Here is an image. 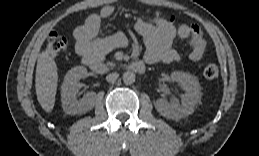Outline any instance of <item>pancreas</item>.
<instances>
[{"label": "pancreas", "instance_id": "1", "mask_svg": "<svg viewBox=\"0 0 259 156\" xmlns=\"http://www.w3.org/2000/svg\"><path fill=\"white\" fill-rule=\"evenodd\" d=\"M107 65L114 67L116 65V63L111 61V62H108Z\"/></svg>", "mask_w": 259, "mask_h": 156}]
</instances>
